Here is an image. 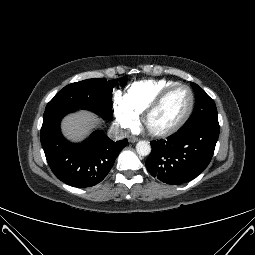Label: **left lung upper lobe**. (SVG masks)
<instances>
[{
	"mask_svg": "<svg viewBox=\"0 0 255 255\" xmlns=\"http://www.w3.org/2000/svg\"><path fill=\"white\" fill-rule=\"evenodd\" d=\"M191 85L196 95L195 108L181 130L210 126L219 128L217 109L213 99L197 84L191 83Z\"/></svg>",
	"mask_w": 255,
	"mask_h": 255,
	"instance_id": "5c2ea615",
	"label": "left lung upper lobe"
}]
</instances>
